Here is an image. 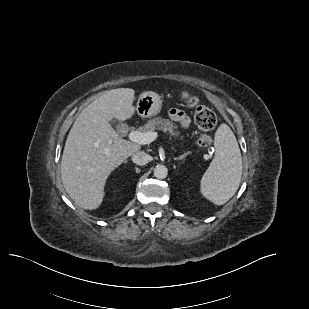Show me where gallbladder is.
<instances>
[{
    "label": "gallbladder",
    "mask_w": 309,
    "mask_h": 309,
    "mask_svg": "<svg viewBox=\"0 0 309 309\" xmlns=\"http://www.w3.org/2000/svg\"><path fill=\"white\" fill-rule=\"evenodd\" d=\"M126 127H127V126H126L125 124H123V123H119V124L116 125V128H117L118 130L124 129V128H126Z\"/></svg>",
    "instance_id": "bac80fb5"
}]
</instances>
